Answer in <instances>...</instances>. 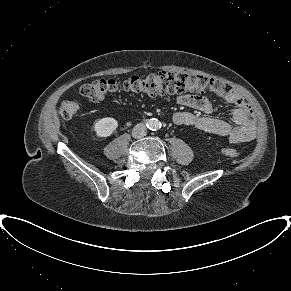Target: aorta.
Here are the masks:
<instances>
[{"instance_id":"762f6f07","label":"aorta","mask_w":291,"mask_h":291,"mask_svg":"<svg viewBox=\"0 0 291 291\" xmlns=\"http://www.w3.org/2000/svg\"><path fill=\"white\" fill-rule=\"evenodd\" d=\"M150 130H158L161 128V122L158 119H150L147 123Z\"/></svg>"}]
</instances>
